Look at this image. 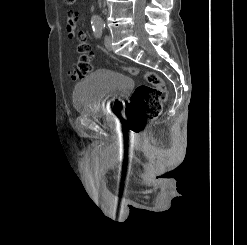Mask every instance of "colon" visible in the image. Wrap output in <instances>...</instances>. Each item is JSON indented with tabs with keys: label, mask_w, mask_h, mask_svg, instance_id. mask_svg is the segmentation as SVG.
Instances as JSON below:
<instances>
[{
	"label": "colon",
	"mask_w": 247,
	"mask_h": 245,
	"mask_svg": "<svg viewBox=\"0 0 247 245\" xmlns=\"http://www.w3.org/2000/svg\"><path fill=\"white\" fill-rule=\"evenodd\" d=\"M75 0H65L69 5ZM77 46L79 54L78 62L69 70V76L73 80L86 77L92 71V49L90 45L79 38ZM132 75L140 74L136 67H124ZM143 78L147 84L137 86L128 102L126 109V122L128 130L133 133H140L145 125L157 118L167 100V88L164 80L152 71L143 72Z\"/></svg>",
	"instance_id": "obj_1"
}]
</instances>
